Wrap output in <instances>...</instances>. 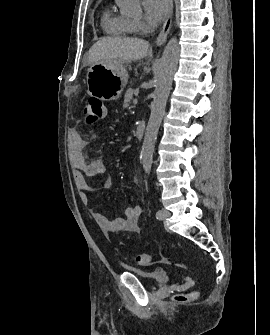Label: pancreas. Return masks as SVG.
<instances>
[{
  "label": "pancreas",
  "mask_w": 270,
  "mask_h": 335,
  "mask_svg": "<svg viewBox=\"0 0 270 335\" xmlns=\"http://www.w3.org/2000/svg\"><path fill=\"white\" fill-rule=\"evenodd\" d=\"M133 94H134V90H131V88H129V90H127L125 94L123 108H128V106H130L131 100L133 98Z\"/></svg>",
  "instance_id": "obj_1"
}]
</instances>
